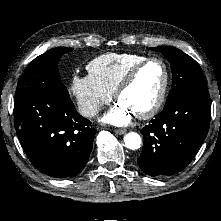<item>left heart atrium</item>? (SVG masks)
<instances>
[{
	"label": "left heart atrium",
	"mask_w": 221,
	"mask_h": 221,
	"mask_svg": "<svg viewBox=\"0 0 221 221\" xmlns=\"http://www.w3.org/2000/svg\"><path fill=\"white\" fill-rule=\"evenodd\" d=\"M133 112L124 104L118 102L108 113L104 115L102 121L108 124L123 126L127 125L133 116Z\"/></svg>",
	"instance_id": "1"
}]
</instances>
